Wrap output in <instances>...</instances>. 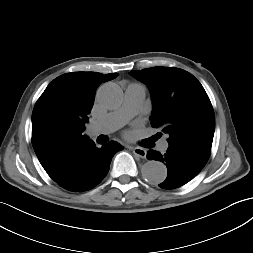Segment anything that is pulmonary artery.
Returning <instances> with one entry per match:
<instances>
[{
  "instance_id": "e3ab8cb5",
  "label": "pulmonary artery",
  "mask_w": 253,
  "mask_h": 253,
  "mask_svg": "<svg viewBox=\"0 0 253 253\" xmlns=\"http://www.w3.org/2000/svg\"><path fill=\"white\" fill-rule=\"evenodd\" d=\"M145 94L146 89L143 85L137 83L129 84L125 89L122 106L90 124L87 133L90 136H98L101 134H109L120 128L140 111L145 99ZM168 147L169 144L167 139H162L159 143V149L165 152Z\"/></svg>"
}]
</instances>
